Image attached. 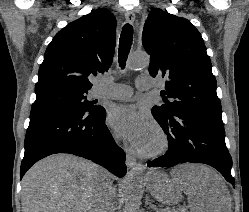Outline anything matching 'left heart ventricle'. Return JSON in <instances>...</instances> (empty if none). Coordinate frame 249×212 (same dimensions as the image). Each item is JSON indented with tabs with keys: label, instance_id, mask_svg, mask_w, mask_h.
Returning <instances> with one entry per match:
<instances>
[{
	"label": "left heart ventricle",
	"instance_id": "b2bd125f",
	"mask_svg": "<svg viewBox=\"0 0 249 212\" xmlns=\"http://www.w3.org/2000/svg\"><path fill=\"white\" fill-rule=\"evenodd\" d=\"M159 139L157 133L149 127L148 132L145 136L143 150H151L158 145Z\"/></svg>",
	"mask_w": 249,
	"mask_h": 212
}]
</instances>
